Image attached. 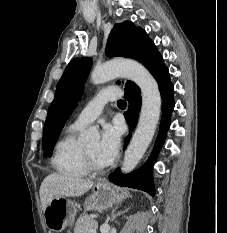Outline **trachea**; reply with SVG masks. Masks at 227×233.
I'll return each mask as SVG.
<instances>
[{"mask_svg":"<svg viewBox=\"0 0 227 233\" xmlns=\"http://www.w3.org/2000/svg\"><path fill=\"white\" fill-rule=\"evenodd\" d=\"M117 105L118 106H126V101H124V100H118V102H117Z\"/></svg>","mask_w":227,"mask_h":233,"instance_id":"trachea-1","label":"trachea"}]
</instances>
